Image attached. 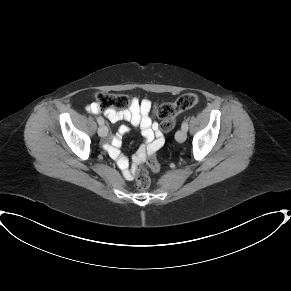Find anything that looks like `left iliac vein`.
I'll list each match as a JSON object with an SVG mask.
<instances>
[{"mask_svg": "<svg viewBox=\"0 0 291 291\" xmlns=\"http://www.w3.org/2000/svg\"><path fill=\"white\" fill-rule=\"evenodd\" d=\"M186 131H184L183 129L177 131L176 135H175V138L178 142L182 143L186 140Z\"/></svg>", "mask_w": 291, "mask_h": 291, "instance_id": "4c4485c4", "label": "left iliac vein"}]
</instances>
